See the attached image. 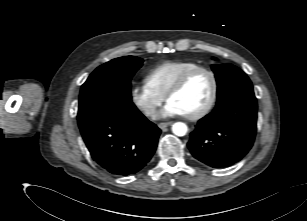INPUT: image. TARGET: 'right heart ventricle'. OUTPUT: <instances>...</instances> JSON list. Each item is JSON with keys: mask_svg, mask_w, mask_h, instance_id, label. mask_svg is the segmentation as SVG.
Returning a JSON list of instances; mask_svg holds the SVG:
<instances>
[{"mask_svg": "<svg viewBox=\"0 0 307 221\" xmlns=\"http://www.w3.org/2000/svg\"><path fill=\"white\" fill-rule=\"evenodd\" d=\"M200 66L193 61H165L153 67L145 76V84L156 94L165 97L176 80L185 72Z\"/></svg>", "mask_w": 307, "mask_h": 221, "instance_id": "obj_1", "label": "right heart ventricle"}]
</instances>
